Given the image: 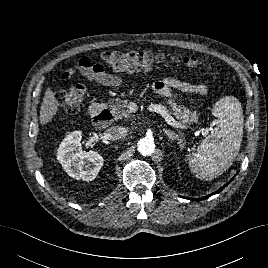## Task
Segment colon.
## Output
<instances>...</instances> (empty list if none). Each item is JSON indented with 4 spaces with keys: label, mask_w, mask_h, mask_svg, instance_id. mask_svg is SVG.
I'll return each instance as SVG.
<instances>
[{
    "label": "colon",
    "mask_w": 268,
    "mask_h": 268,
    "mask_svg": "<svg viewBox=\"0 0 268 268\" xmlns=\"http://www.w3.org/2000/svg\"><path fill=\"white\" fill-rule=\"evenodd\" d=\"M104 65L111 70H140L148 69L153 64L164 62L175 63L179 59L171 56L167 57L162 53H152L148 51H107L103 54ZM183 65L190 71L197 69L202 65L198 59L194 57H184ZM88 63L81 62L80 67L85 69ZM85 87L76 85L68 89L59 90L56 93L57 102L68 113H76L82 105L85 98Z\"/></svg>",
    "instance_id": "1"
}]
</instances>
